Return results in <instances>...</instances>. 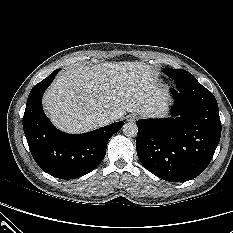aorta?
<instances>
[{
	"mask_svg": "<svg viewBox=\"0 0 233 233\" xmlns=\"http://www.w3.org/2000/svg\"><path fill=\"white\" fill-rule=\"evenodd\" d=\"M122 131L127 137H135L138 133V127L134 122H128L123 125Z\"/></svg>",
	"mask_w": 233,
	"mask_h": 233,
	"instance_id": "obj_1",
	"label": "aorta"
}]
</instances>
